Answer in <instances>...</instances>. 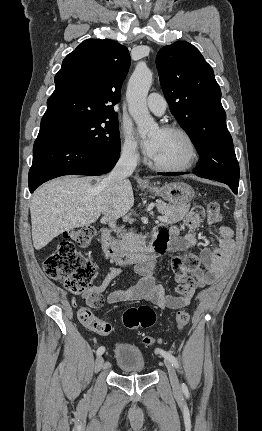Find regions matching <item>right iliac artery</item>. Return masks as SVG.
I'll return each instance as SVG.
<instances>
[{"mask_svg": "<svg viewBox=\"0 0 262 431\" xmlns=\"http://www.w3.org/2000/svg\"><path fill=\"white\" fill-rule=\"evenodd\" d=\"M104 351H105V348L101 346V347H99V348L97 349L96 354H97V355H102V354L104 353Z\"/></svg>", "mask_w": 262, "mask_h": 431, "instance_id": "right-iliac-artery-1", "label": "right iliac artery"}]
</instances>
